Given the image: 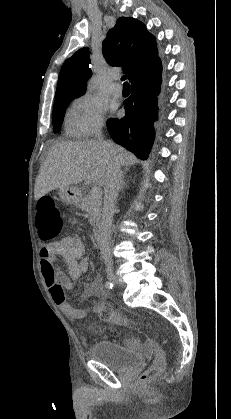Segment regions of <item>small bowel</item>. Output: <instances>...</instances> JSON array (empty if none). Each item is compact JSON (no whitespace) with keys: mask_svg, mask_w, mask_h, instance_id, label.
Returning <instances> with one entry per match:
<instances>
[{"mask_svg":"<svg viewBox=\"0 0 231 419\" xmlns=\"http://www.w3.org/2000/svg\"><path fill=\"white\" fill-rule=\"evenodd\" d=\"M60 256L66 263L67 272L57 264L56 258ZM41 273L50 295L58 308L66 315L81 319L86 316L83 309L71 305L65 296V290L74 287L76 280L84 274L90 265V259L85 256V244L79 236H67L51 244L43 245L39 251ZM83 298H98L104 301L107 293L103 289L101 280L95 278L85 287ZM102 303L100 306H105ZM108 306V305H107ZM130 344H137L134 337L127 339Z\"/></svg>","mask_w":231,"mask_h":419,"instance_id":"1","label":"small bowel"}]
</instances>
